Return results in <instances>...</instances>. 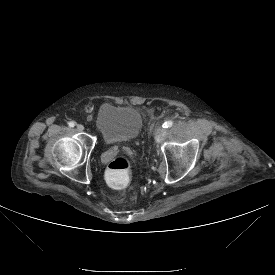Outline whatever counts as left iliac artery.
I'll use <instances>...</instances> for the list:
<instances>
[{
  "mask_svg": "<svg viewBox=\"0 0 275 275\" xmlns=\"http://www.w3.org/2000/svg\"><path fill=\"white\" fill-rule=\"evenodd\" d=\"M173 125L172 121H166L164 122V124L162 125L163 128H170Z\"/></svg>",
  "mask_w": 275,
  "mask_h": 275,
  "instance_id": "obj_1",
  "label": "left iliac artery"
}]
</instances>
